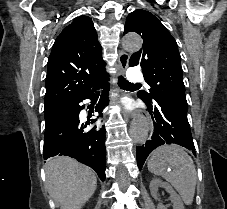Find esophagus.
Returning a JSON list of instances; mask_svg holds the SVG:
<instances>
[{
  "label": "esophagus",
  "instance_id": "obj_1",
  "mask_svg": "<svg viewBox=\"0 0 227 209\" xmlns=\"http://www.w3.org/2000/svg\"><path fill=\"white\" fill-rule=\"evenodd\" d=\"M118 62L120 65L119 74L124 75L129 63V54L120 51ZM131 112L135 116V120L142 121L145 125H148L147 127L150 133L147 134V137L153 138L154 134L152 132L154 131L153 129H155L156 126L155 124H151L152 116H150V112H146L145 108H132Z\"/></svg>",
  "mask_w": 227,
  "mask_h": 209
}]
</instances>
